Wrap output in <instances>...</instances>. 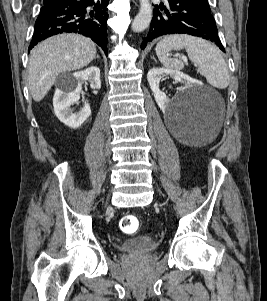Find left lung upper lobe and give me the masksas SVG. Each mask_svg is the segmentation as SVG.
Listing matches in <instances>:
<instances>
[{
	"label": "left lung upper lobe",
	"instance_id": "obj_1",
	"mask_svg": "<svg viewBox=\"0 0 267 301\" xmlns=\"http://www.w3.org/2000/svg\"><path fill=\"white\" fill-rule=\"evenodd\" d=\"M197 4H199L200 6L210 10L209 4L207 2V0H194ZM211 11V10H210Z\"/></svg>",
	"mask_w": 267,
	"mask_h": 301
}]
</instances>
